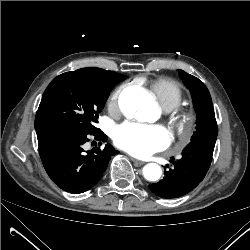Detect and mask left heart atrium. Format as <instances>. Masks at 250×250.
Returning a JSON list of instances; mask_svg holds the SVG:
<instances>
[{
    "label": "left heart atrium",
    "mask_w": 250,
    "mask_h": 250,
    "mask_svg": "<svg viewBox=\"0 0 250 250\" xmlns=\"http://www.w3.org/2000/svg\"><path fill=\"white\" fill-rule=\"evenodd\" d=\"M170 132L160 125L126 122L117 127L114 142L121 149L136 157H146L168 147Z\"/></svg>",
    "instance_id": "left-heart-atrium-1"
}]
</instances>
